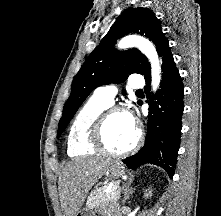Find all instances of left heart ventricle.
<instances>
[{
  "instance_id": "obj_1",
  "label": "left heart ventricle",
  "mask_w": 221,
  "mask_h": 216,
  "mask_svg": "<svg viewBox=\"0 0 221 216\" xmlns=\"http://www.w3.org/2000/svg\"><path fill=\"white\" fill-rule=\"evenodd\" d=\"M135 137V125L129 120L127 114L117 113L109 118L104 139L110 149L123 150L133 143Z\"/></svg>"
}]
</instances>
